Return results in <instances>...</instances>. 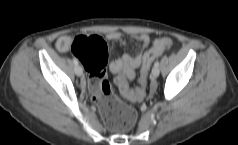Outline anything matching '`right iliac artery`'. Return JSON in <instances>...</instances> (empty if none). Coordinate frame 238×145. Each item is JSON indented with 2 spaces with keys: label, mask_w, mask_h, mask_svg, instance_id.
Here are the masks:
<instances>
[{
  "label": "right iliac artery",
  "mask_w": 238,
  "mask_h": 145,
  "mask_svg": "<svg viewBox=\"0 0 238 145\" xmlns=\"http://www.w3.org/2000/svg\"><path fill=\"white\" fill-rule=\"evenodd\" d=\"M73 62L75 65H78V60L75 57L73 58Z\"/></svg>",
  "instance_id": "82829eb1"
}]
</instances>
